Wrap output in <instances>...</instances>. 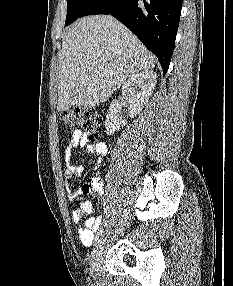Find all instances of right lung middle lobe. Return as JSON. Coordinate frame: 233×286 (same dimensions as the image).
Listing matches in <instances>:
<instances>
[{"label":"right lung middle lobe","instance_id":"obj_1","mask_svg":"<svg viewBox=\"0 0 233 286\" xmlns=\"http://www.w3.org/2000/svg\"><path fill=\"white\" fill-rule=\"evenodd\" d=\"M96 0H67V17L65 25H69L78 18L95 2Z\"/></svg>","mask_w":233,"mask_h":286}]
</instances>
